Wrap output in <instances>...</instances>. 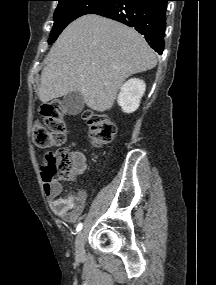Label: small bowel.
<instances>
[{
  "instance_id": "obj_1",
  "label": "small bowel",
  "mask_w": 216,
  "mask_h": 285,
  "mask_svg": "<svg viewBox=\"0 0 216 285\" xmlns=\"http://www.w3.org/2000/svg\"><path fill=\"white\" fill-rule=\"evenodd\" d=\"M86 170V158L81 153L73 154V173L81 176ZM44 191L51 200L53 213L66 222H75L83 213L86 203V193L78 191L74 195L60 197L63 187L58 182H45Z\"/></svg>"
}]
</instances>
